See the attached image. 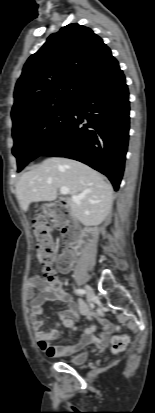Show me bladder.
<instances>
[{
  "mask_svg": "<svg viewBox=\"0 0 155 413\" xmlns=\"http://www.w3.org/2000/svg\"><path fill=\"white\" fill-rule=\"evenodd\" d=\"M87 358H88V353L83 351V352H80V353H77V354L71 356L68 359V363H70L72 365H81V364H84L86 362Z\"/></svg>",
  "mask_w": 155,
  "mask_h": 413,
  "instance_id": "bladder-1",
  "label": "bladder"
}]
</instances>
